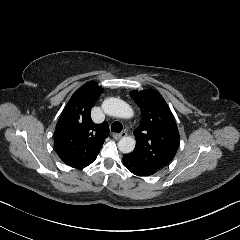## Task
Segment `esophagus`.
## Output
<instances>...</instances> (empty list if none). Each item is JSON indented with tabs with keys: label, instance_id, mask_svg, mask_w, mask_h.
Listing matches in <instances>:
<instances>
[{
	"label": "esophagus",
	"instance_id": "1",
	"mask_svg": "<svg viewBox=\"0 0 240 240\" xmlns=\"http://www.w3.org/2000/svg\"><path fill=\"white\" fill-rule=\"evenodd\" d=\"M126 135H127V134H126L125 132H122V133H114V134H113V138L116 139V140H118V139H120V138L125 137Z\"/></svg>",
	"mask_w": 240,
	"mask_h": 240
}]
</instances>
